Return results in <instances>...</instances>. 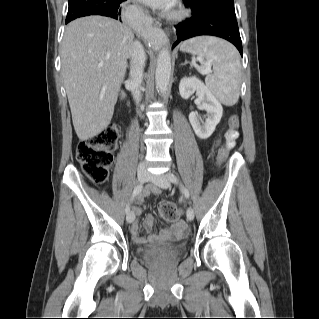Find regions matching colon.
<instances>
[{"mask_svg": "<svg viewBox=\"0 0 319 319\" xmlns=\"http://www.w3.org/2000/svg\"><path fill=\"white\" fill-rule=\"evenodd\" d=\"M230 135L234 139V133L239 128V119L233 114L229 118ZM119 138V128L114 124H108L100 133L81 141L77 146V159L81 163L85 175L97 184H102L108 179L109 167L113 162L114 150ZM227 151L226 146L219 150L218 159L223 161ZM160 215L168 221H177L180 216V208L174 201H165L158 205Z\"/></svg>", "mask_w": 319, "mask_h": 319, "instance_id": "5ec220e1", "label": "colon"}]
</instances>
